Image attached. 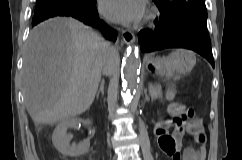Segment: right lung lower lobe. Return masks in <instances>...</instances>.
<instances>
[{
	"mask_svg": "<svg viewBox=\"0 0 242 160\" xmlns=\"http://www.w3.org/2000/svg\"><path fill=\"white\" fill-rule=\"evenodd\" d=\"M55 16L73 17L87 25L100 28L104 36L109 40H116L117 33L110 29L102 20L99 19V15L96 9V2L91 1L87 6H70L65 4H57L45 7L38 11H35L32 26Z\"/></svg>",
	"mask_w": 242,
	"mask_h": 160,
	"instance_id": "obj_1",
	"label": "right lung lower lobe"
}]
</instances>
